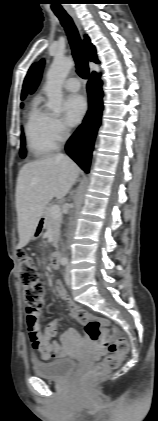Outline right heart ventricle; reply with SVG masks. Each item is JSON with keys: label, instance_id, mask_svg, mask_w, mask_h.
<instances>
[{"label": "right heart ventricle", "instance_id": "e07e8e85", "mask_svg": "<svg viewBox=\"0 0 158 421\" xmlns=\"http://www.w3.org/2000/svg\"><path fill=\"white\" fill-rule=\"evenodd\" d=\"M51 122V115L34 102L27 115L25 135L29 151L36 157L46 156L58 146Z\"/></svg>", "mask_w": 158, "mask_h": 421}]
</instances>
